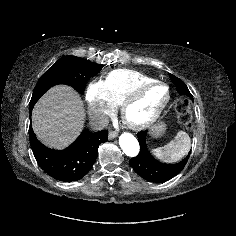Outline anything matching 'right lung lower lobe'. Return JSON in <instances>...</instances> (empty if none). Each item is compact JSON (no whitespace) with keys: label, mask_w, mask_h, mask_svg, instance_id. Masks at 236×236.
Instances as JSON below:
<instances>
[{"label":"right lung lower lobe","mask_w":236,"mask_h":236,"mask_svg":"<svg viewBox=\"0 0 236 236\" xmlns=\"http://www.w3.org/2000/svg\"><path fill=\"white\" fill-rule=\"evenodd\" d=\"M33 106L29 107L30 115ZM29 140L34 157L42 170L56 180L72 182L81 179L90 171L97 158L98 146L108 140V131L82 132L63 151L50 149L40 143L31 126Z\"/></svg>","instance_id":"98d812e1"}]
</instances>
